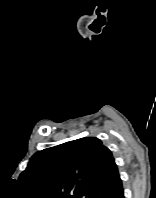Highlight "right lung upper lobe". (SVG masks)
Returning a JSON list of instances; mask_svg holds the SVG:
<instances>
[{"mask_svg": "<svg viewBox=\"0 0 156 198\" xmlns=\"http://www.w3.org/2000/svg\"><path fill=\"white\" fill-rule=\"evenodd\" d=\"M19 180L39 198H111L123 188L111 151L95 137L37 152Z\"/></svg>", "mask_w": 156, "mask_h": 198, "instance_id": "cb5924a9", "label": "right lung upper lobe"}]
</instances>
